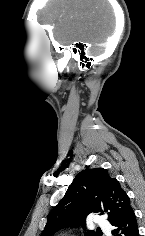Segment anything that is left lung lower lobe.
Masks as SVG:
<instances>
[{"label": "left lung lower lobe", "instance_id": "left-lung-lower-lobe-1", "mask_svg": "<svg viewBox=\"0 0 145 236\" xmlns=\"http://www.w3.org/2000/svg\"><path fill=\"white\" fill-rule=\"evenodd\" d=\"M114 236H139L137 219L133 209H131L123 218L112 224Z\"/></svg>", "mask_w": 145, "mask_h": 236}]
</instances>
